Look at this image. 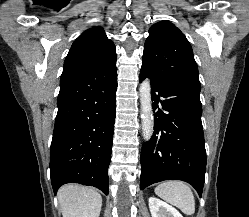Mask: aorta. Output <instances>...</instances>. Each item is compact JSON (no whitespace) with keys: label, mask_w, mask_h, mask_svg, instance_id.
Returning a JSON list of instances; mask_svg holds the SVG:
<instances>
[{"label":"aorta","mask_w":249,"mask_h":217,"mask_svg":"<svg viewBox=\"0 0 249 217\" xmlns=\"http://www.w3.org/2000/svg\"><path fill=\"white\" fill-rule=\"evenodd\" d=\"M140 104H141V127L142 134L146 141L150 140L154 132V120L152 113L151 100V83L149 79H145L139 88Z\"/></svg>","instance_id":"1"}]
</instances>
